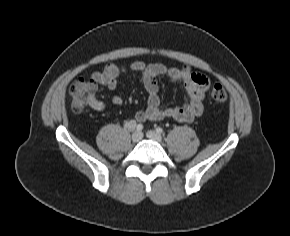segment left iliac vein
Instances as JSON below:
<instances>
[{"instance_id": "obj_1", "label": "left iliac vein", "mask_w": 290, "mask_h": 236, "mask_svg": "<svg viewBox=\"0 0 290 236\" xmlns=\"http://www.w3.org/2000/svg\"><path fill=\"white\" fill-rule=\"evenodd\" d=\"M146 135L149 139L156 141L158 143H160L162 141V136L154 130L147 131Z\"/></svg>"}]
</instances>
